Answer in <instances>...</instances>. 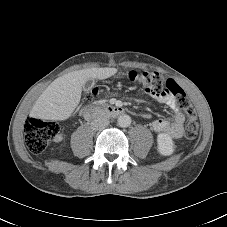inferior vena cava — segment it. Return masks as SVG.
<instances>
[{
  "mask_svg": "<svg viewBox=\"0 0 227 227\" xmlns=\"http://www.w3.org/2000/svg\"><path fill=\"white\" fill-rule=\"evenodd\" d=\"M108 125H109V120L103 116H99L91 122V128L93 130L103 129Z\"/></svg>",
  "mask_w": 227,
  "mask_h": 227,
  "instance_id": "obj_1",
  "label": "inferior vena cava"
}]
</instances>
